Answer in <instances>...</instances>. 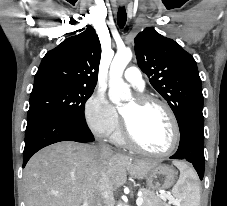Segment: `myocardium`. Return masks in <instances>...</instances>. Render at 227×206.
<instances>
[{"label":"myocardium","mask_w":227,"mask_h":206,"mask_svg":"<svg viewBox=\"0 0 227 206\" xmlns=\"http://www.w3.org/2000/svg\"><path fill=\"white\" fill-rule=\"evenodd\" d=\"M136 103L141 106V107H146L149 105H156L161 107L168 115L172 128H173V140L172 144L168 149L165 151L161 152H156V151H151L146 148H144L134 137L128 123L126 122L125 118L122 116L123 119V128H122V136L125 140V142L134 148L136 151L146 154V155H151V156H157V157H162V156H167L173 153L176 148L178 147L180 143V138H181V131H180V126L177 120V117L172 110V108L163 100L151 96H137L135 98Z\"/></svg>","instance_id":"myocardium-1"}]
</instances>
